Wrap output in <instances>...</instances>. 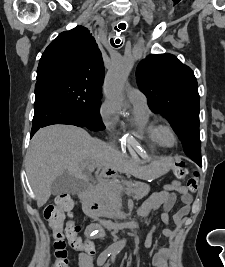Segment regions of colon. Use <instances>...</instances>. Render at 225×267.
I'll return each mask as SVG.
<instances>
[{"label":"colon","mask_w":225,"mask_h":267,"mask_svg":"<svg viewBox=\"0 0 225 267\" xmlns=\"http://www.w3.org/2000/svg\"><path fill=\"white\" fill-rule=\"evenodd\" d=\"M173 174L180 180H184L188 173L186 162L177 157L172 164ZM199 186L198 175L195 174L187 181L189 191L195 192ZM73 206V201L68 195H62L57 199L56 205H48L44 210V216L52 228V249L54 262L52 267H69L68 253L66 250V240L74 250H89L90 244L79 236L80 226L70 219L63 226L64 212L69 211Z\"/></svg>","instance_id":"1"}]
</instances>
